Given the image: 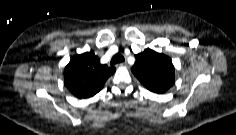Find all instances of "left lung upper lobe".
<instances>
[{
    "instance_id": "5c2ea615",
    "label": "left lung upper lobe",
    "mask_w": 236,
    "mask_h": 135,
    "mask_svg": "<svg viewBox=\"0 0 236 135\" xmlns=\"http://www.w3.org/2000/svg\"><path fill=\"white\" fill-rule=\"evenodd\" d=\"M133 74L151 92L164 93L174 84V66L171 59L149 48L135 55Z\"/></svg>"
}]
</instances>
